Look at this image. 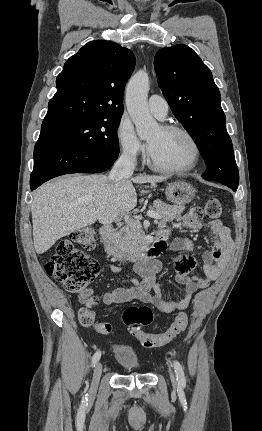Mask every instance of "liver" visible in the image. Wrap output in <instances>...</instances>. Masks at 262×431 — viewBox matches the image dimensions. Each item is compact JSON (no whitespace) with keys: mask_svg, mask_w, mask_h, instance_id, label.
<instances>
[{"mask_svg":"<svg viewBox=\"0 0 262 431\" xmlns=\"http://www.w3.org/2000/svg\"><path fill=\"white\" fill-rule=\"evenodd\" d=\"M164 176L137 175L110 181L106 175H68L39 187L31 205L34 248L43 254L55 242L94 224H110L137 205L133 183H159Z\"/></svg>","mask_w":262,"mask_h":431,"instance_id":"obj_1","label":"liver"}]
</instances>
